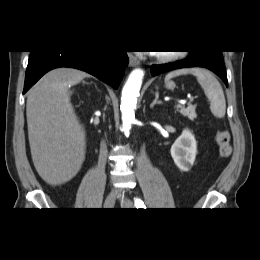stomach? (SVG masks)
Here are the masks:
<instances>
[{
    "mask_svg": "<svg viewBox=\"0 0 260 260\" xmlns=\"http://www.w3.org/2000/svg\"><path fill=\"white\" fill-rule=\"evenodd\" d=\"M165 87L167 89H174L175 88V83L168 80V81L165 82Z\"/></svg>",
    "mask_w": 260,
    "mask_h": 260,
    "instance_id": "1",
    "label": "stomach"
}]
</instances>
